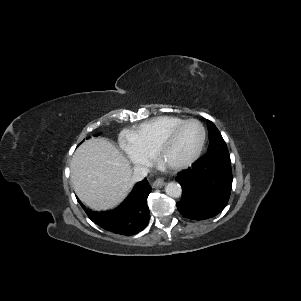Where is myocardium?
I'll return each mask as SVG.
<instances>
[{
	"label": "myocardium",
	"instance_id": "obj_1",
	"mask_svg": "<svg viewBox=\"0 0 301 301\" xmlns=\"http://www.w3.org/2000/svg\"><path fill=\"white\" fill-rule=\"evenodd\" d=\"M188 123H196L200 126L201 128V140L199 142V145L196 149V151L193 153L192 156H190L188 159L178 162V163H168L165 161V151L169 143L174 139V137L177 135V133ZM206 141V129L205 126L201 121L198 119H186L170 129L168 132L163 134L160 139L158 140L156 147H155V156L160 165H162L165 168L171 169V170H178V169H183L191 165L193 162H195L199 156L201 155L204 145Z\"/></svg>",
	"mask_w": 301,
	"mask_h": 301
}]
</instances>
